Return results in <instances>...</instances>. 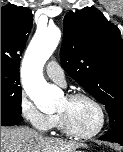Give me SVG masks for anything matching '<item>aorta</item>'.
Segmentation results:
<instances>
[{
  "mask_svg": "<svg viewBox=\"0 0 123 152\" xmlns=\"http://www.w3.org/2000/svg\"><path fill=\"white\" fill-rule=\"evenodd\" d=\"M61 38L56 26L38 30L31 40L22 62V82L26 94L42 112L56 109L60 98L58 90L48 84L42 74L47 60L55 51Z\"/></svg>",
  "mask_w": 123,
  "mask_h": 152,
  "instance_id": "762f6f07",
  "label": "aorta"
}]
</instances>
